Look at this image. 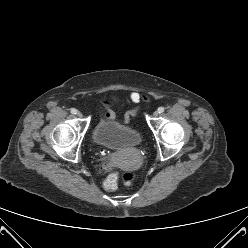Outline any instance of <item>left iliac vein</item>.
Segmentation results:
<instances>
[{
    "label": "left iliac vein",
    "mask_w": 248,
    "mask_h": 248,
    "mask_svg": "<svg viewBox=\"0 0 248 248\" xmlns=\"http://www.w3.org/2000/svg\"><path fill=\"white\" fill-rule=\"evenodd\" d=\"M159 115V112L158 111H155L154 113H153V116L154 117H157Z\"/></svg>",
    "instance_id": "left-iliac-vein-1"
}]
</instances>
